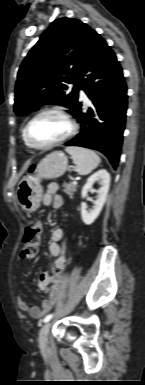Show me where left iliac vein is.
<instances>
[{
	"mask_svg": "<svg viewBox=\"0 0 145 385\" xmlns=\"http://www.w3.org/2000/svg\"><path fill=\"white\" fill-rule=\"evenodd\" d=\"M50 327H51V322L48 321L40 329L38 341H39L40 347L42 348L46 347L48 344V335H49Z\"/></svg>",
	"mask_w": 145,
	"mask_h": 385,
	"instance_id": "left-iliac-vein-1",
	"label": "left iliac vein"
}]
</instances>
